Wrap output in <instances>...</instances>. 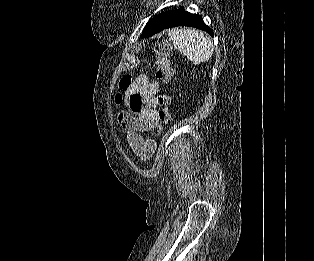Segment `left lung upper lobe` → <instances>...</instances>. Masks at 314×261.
Segmentation results:
<instances>
[{
  "label": "left lung upper lobe",
  "instance_id": "left-lung-upper-lobe-1",
  "mask_svg": "<svg viewBox=\"0 0 314 261\" xmlns=\"http://www.w3.org/2000/svg\"><path fill=\"white\" fill-rule=\"evenodd\" d=\"M178 10L162 12L154 16L145 26L142 38H148L156 34L170 19L176 14Z\"/></svg>",
  "mask_w": 314,
  "mask_h": 261
}]
</instances>
